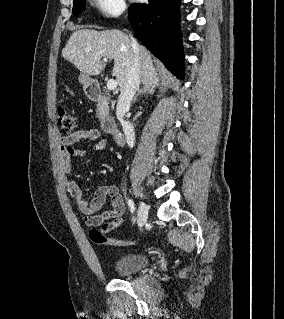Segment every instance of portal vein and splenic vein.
Instances as JSON below:
<instances>
[{
  "label": "portal vein and splenic vein",
  "mask_w": 284,
  "mask_h": 319,
  "mask_svg": "<svg viewBox=\"0 0 284 319\" xmlns=\"http://www.w3.org/2000/svg\"><path fill=\"white\" fill-rule=\"evenodd\" d=\"M107 60L105 59L104 62H106ZM117 87V81L114 79H110L107 82V88L108 90H115Z\"/></svg>",
  "instance_id": "portal-vein-and-splenic-vein-1"
}]
</instances>
